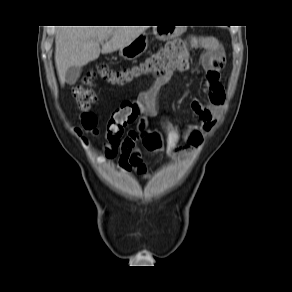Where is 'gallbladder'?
I'll return each mask as SVG.
<instances>
[{
  "mask_svg": "<svg viewBox=\"0 0 292 292\" xmlns=\"http://www.w3.org/2000/svg\"><path fill=\"white\" fill-rule=\"evenodd\" d=\"M81 71H82L81 67L76 66L69 67L65 74L66 83L69 85L75 84L78 78L80 77Z\"/></svg>",
  "mask_w": 292,
  "mask_h": 292,
  "instance_id": "bac80fb5",
  "label": "gallbladder"
}]
</instances>
